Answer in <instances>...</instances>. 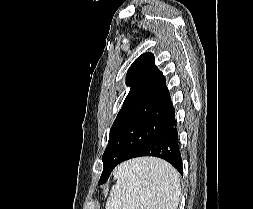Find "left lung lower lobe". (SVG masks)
I'll return each instance as SVG.
<instances>
[{"mask_svg":"<svg viewBox=\"0 0 253 209\" xmlns=\"http://www.w3.org/2000/svg\"><path fill=\"white\" fill-rule=\"evenodd\" d=\"M141 156H155L162 158L172 164L180 174H183L181 153L178 144V132L176 128L175 115L167 126L151 139L139 152L114 162L109 168L102 172L99 184H103L109 178L112 170L121 162Z\"/></svg>","mask_w":253,"mask_h":209,"instance_id":"obj_1","label":"left lung lower lobe"}]
</instances>
